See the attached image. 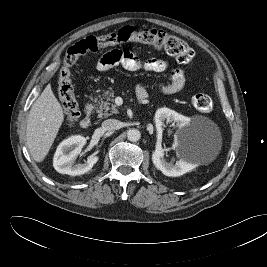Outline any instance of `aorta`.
I'll list each match as a JSON object with an SVG mask.
<instances>
[{
    "mask_svg": "<svg viewBox=\"0 0 267 267\" xmlns=\"http://www.w3.org/2000/svg\"><path fill=\"white\" fill-rule=\"evenodd\" d=\"M127 137H128L129 141L137 142L141 137V133H140V131L138 129H130L127 132Z\"/></svg>",
    "mask_w": 267,
    "mask_h": 267,
    "instance_id": "obj_1",
    "label": "aorta"
}]
</instances>
